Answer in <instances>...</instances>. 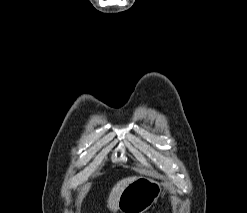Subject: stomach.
<instances>
[{
	"instance_id": "stomach-1",
	"label": "stomach",
	"mask_w": 247,
	"mask_h": 213,
	"mask_svg": "<svg viewBox=\"0 0 247 213\" xmlns=\"http://www.w3.org/2000/svg\"><path fill=\"white\" fill-rule=\"evenodd\" d=\"M162 193L161 184L149 177H138L121 193L118 209L121 213H145Z\"/></svg>"
}]
</instances>
